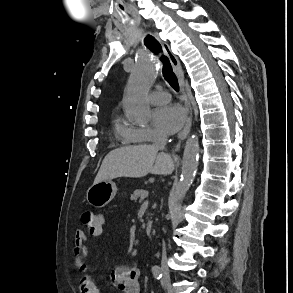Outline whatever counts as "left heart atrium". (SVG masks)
I'll return each mask as SVG.
<instances>
[{"label":"left heart atrium","mask_w":293,"mask_h":293,"mask_svg":"<svg viewBox=\"0 0 293 293\" xmlns=\"http://www.w3.org/2000/svg\"><path fill=\"white\" fill-rule=\"evenodd\" d=\"M184 120L185 111L178 104H168L153 112L154 124L163 134L175 133L182 126Z\"/></svg>","instance_id":"39dd6f15"}]
</instances>
